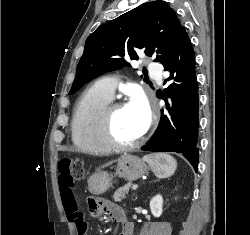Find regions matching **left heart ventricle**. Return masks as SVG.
<instances>
[{"label":"left heart ventricle","mask_w":250,"mask_h":235,"mask_svg":"<svg viewBox=\"0 0 250 235\" xmlns=\"http://www.w3.org/2000/svg\"><path fill=\"white\" fill-rule=\"evenodd\" d=\"M113 133L115 138L122 143L134 142L142 135L135 115L127 106L116 112L113 120Z\"/></svg>","instance_id":"1"}]
</instances>
